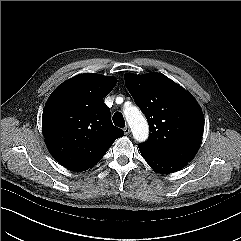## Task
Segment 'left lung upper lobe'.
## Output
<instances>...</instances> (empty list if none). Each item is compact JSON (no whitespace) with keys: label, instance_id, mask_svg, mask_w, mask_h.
<instances>
[{"label":"left lung upper lobe","instance_id":"left-lung-upper-lobe-1","mask_svg":"<svg viewBox=\"0 0 241 241\" xmlns=\"http://www.w3.org/2000/svg\"><path fill=\"white\" fill-rule=\"evenodd\" d=\"M125 85L149 123L150 136L140 146L173 161L190 162L204 130L203 113L193 96L160 73L127 74Z\"/></svg>","mask_w":241,"mask_h":241}]
</instances>
